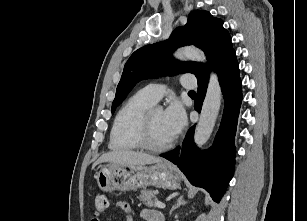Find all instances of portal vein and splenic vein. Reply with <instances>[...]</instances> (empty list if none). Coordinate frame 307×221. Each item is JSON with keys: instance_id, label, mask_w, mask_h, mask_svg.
Listing matches in <instances>:
<instances>
[{"instance_id": "portal-vein-and-splenic-vein-1", "label": "portal vein and splenic vein", "mask_w": 307, "mask_h": 221, "mask_svg": "<svg viewBox=\"0 0 307 221\" xmlns=\"http://www.w3.org/2000/svg\"><path fill=\"white\" fill-rule=\"evenodd\" d=\"M154 205L157 207V208H160V209H164L165 208V204L160 202V201H155L154 202Z\"/></svg>"}]
</instances>
